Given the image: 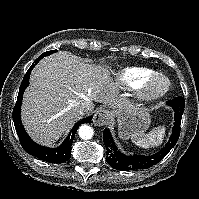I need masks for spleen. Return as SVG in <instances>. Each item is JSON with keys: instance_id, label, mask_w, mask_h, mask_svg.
Returning a JSON list of instances; mask_svg holds the SVG:
<instances>
[{"instance_id": "1", "label": "spleen", "mask_w": 199, "mask_h": 199, "mask_svg": "<svg viewBox=\"0 0 199 199\" xmlns=\"http://www.w3.org/2000/svg\"><path fill=\"white\" fill-rule=\"evenodd\" d=\"M166 132V127L159 126L151 130L148 134L138 133L131 136L132 142L138 147L147 149L162 144Z\"/></svg>"}]
</instances>
